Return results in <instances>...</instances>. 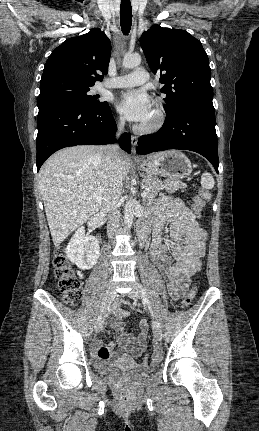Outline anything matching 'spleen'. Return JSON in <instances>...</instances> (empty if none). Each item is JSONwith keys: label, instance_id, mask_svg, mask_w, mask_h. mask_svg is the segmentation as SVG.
Here are the masks:
<instances>
[{"label": "spleen", "instance_id": "3e777b00", "mask_svg": "<svg viewBox=\"0 0 259 431\" xmlns=\"http://www.w3.org/2000/svg\"><path fill=\"white\" fill-rule=\"evenodd\" d=\"M214 184H215V182H214L213 176L208 172L203 173V175L201 177L202 188L206 189V190H210L214 187Z\"/></svg>", "mask_w": 259, "mask_h": 431}]
</instances>
